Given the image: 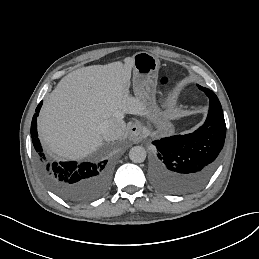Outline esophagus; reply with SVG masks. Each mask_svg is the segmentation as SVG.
I'll return each mask as SVG.
<instances>
[{
  "label": "esophagus",
  "mask_w": 259,
  "mask_h": 259,
  "mask_svg": "<svg viewBox=\"0 0 259 259\" xmlns=\"http://www.w3.org/2000/svg\"><path fill=\"white\" fill-rule=\"evenodd\" d=\"M144 138V131L139 123H134L129 132V140L138 143Z\"/></svg>",
  "instance_id": "34e87169"
}]
</instances>
